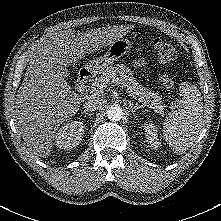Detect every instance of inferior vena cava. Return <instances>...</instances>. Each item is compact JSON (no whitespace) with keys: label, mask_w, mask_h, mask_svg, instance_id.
Listing matches in <instances>:
<instances>
[{"label":"inferior vena cava","mask_w":221,"mask_h":221,"mask_svg":"<svg viewBox=\"0 0 221 221\" xmlns=\"http://www.w3.org/2000/svg\"><path fill=\"white\" fill-rule=\"evenodd\" d=\"M102 104L103 101L101 99L94 97L86 101L83 105V108L85 111L92 112L99 109L102 106Z\"/></svg>","instance_id":"602c4592"}]
</instances>
